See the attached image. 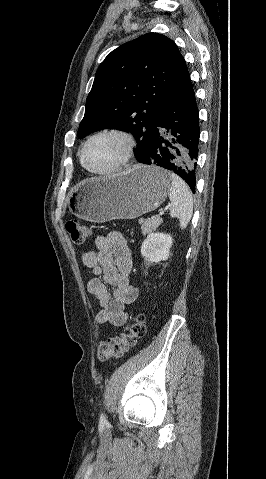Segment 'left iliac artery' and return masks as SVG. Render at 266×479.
Listing matches in <instances>:
<instances>
[{"label": "left iliac artery", "instance_id": "left-iliac-artery-1", "mask_svg": "<svg viewBox=\"0 0 266 479\" xmlns=\"http://www.w3.org/2000/svg\"><path fill=\"white\" fill-rule=\"evenodd\" d=\"M100 420H101V421H106V417H105V414H104V413H101V415H100Z\"/></svg>", "mask_w": 266, "mask_h": 479}]
</instances>
